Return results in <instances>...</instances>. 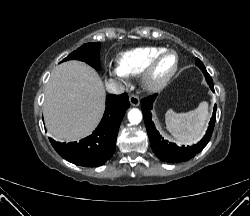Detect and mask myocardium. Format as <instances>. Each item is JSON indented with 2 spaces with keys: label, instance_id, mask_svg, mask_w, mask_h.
Returning <instances> with one entry per match:
<instances>
[{
  "label": "myocardium",
  "instance_id": "f54148a6",
  "mask_svg": "<svg viewBox=\"0 0 250 216\" xmlns=\"http://www.w3.org/2000/svg\"><path fill=\"white\" fill-rule=\"evenodd\" d=\"M173 55L175 57V64L173 69L162 79H156L154 74L159 61L166 55ZM180 59L175 50L165 49L156 54L148 63L142 73V83L146 90L150 92H158L164 89L173 77L176 75L179 69Z\"/></svg>",
  "mask_w": 250,
  "mask_h": 216
}]
</instances>
